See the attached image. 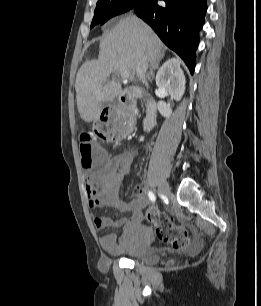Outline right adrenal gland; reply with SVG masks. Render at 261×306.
Instances as JSON below:
<instances>
[{
	"label": "right adrenal gland",
	"instance_id": "2a0ac1e0",
	"mask_svg": "<svg viewBox=\"0 0 261 306\" xmlns=\"http://www.w3.org/2000/svg\"><path fill=\"white\" fill-rule=\"evenodd\" d=\"M159 63H160V61L157 60V61L151 63V65H150L149 75L151 76L152 79L154 78V70L159 68Z\"/></svg>",
	"mask_w": 261,
	"mask_h": 306
}]
</instances>
